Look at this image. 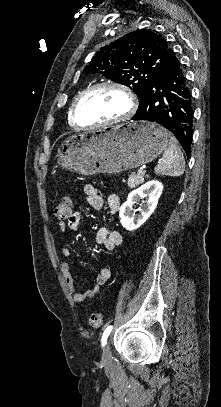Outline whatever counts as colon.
<instances>
[{"mask_svg":"<svg viewBox=\"0 0 221 407\" xmlns=\"http://www.w3.org/2000/svg\"><path fill=\"white\" fill-rule=\"evenodd\" d=\"M73 215V202L70 197L62 198L54 208V216L58 220H68ZM104 317L101 312H94L89 319V325L92 328H100L103 324Z\"/></svg>","mask_w":221,"mask_h":407,"instance_id":"1","label":"colon"}]
</instances>
